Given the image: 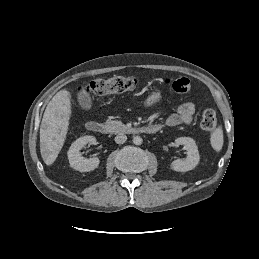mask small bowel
Segmentation results:
<instances>
[{"label":"small bowel","mask_w":259,"mask_h":259,"mask_svg":"<svg viewBox=\"0 0 259 259\" xmlns=\"http://www.w3.org/2000/svg\"><path fill=\"white\" fill-rule=\"evenodd\" d=\"M194 113V103L190 101L184 102L179 106L176 112L167 116L164 124L168 127H174L180 124H189L193 119Z\"/></svg>","instance_id":"1"}]
</instances>
